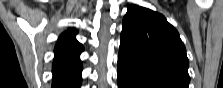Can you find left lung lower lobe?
Here are the masks:
<instances>
[{"label": "left lung lower lobe", "mask_w": 223, "mask_h": 88, "mask_svg": "<svg viewBox=\"0 0 223 88\" xmlns=\"http://www.w3.org/2000/svg\"><path fill=\"white\" fill-rule=\"evenodd\" d=\"M118 88H166L149 83L137 73L118 65Z\"/></svg>", "instance_id": "left-lung-lower-lobe-1"}]
</instances>
